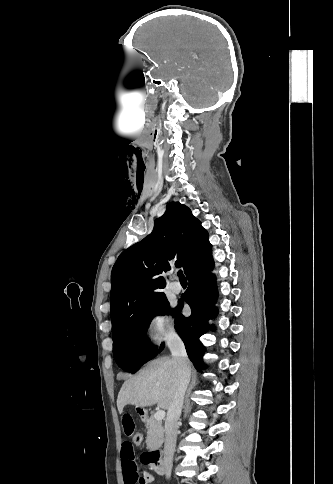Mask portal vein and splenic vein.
<instances>
[{"label": "portal vein and splenic vein", "instance_id": "obj_1", "mask_svg": "<svg viewBox=\"0 0 333 484\" xmlns=\"http://www.w3.org/2000/svg\"><path fill=\"white\" fill-rule=\"evenodd\" d=\"M154 418L157 421H162L165 418V411L164 410H159L154 414Z\"/></svg>", "mask_w": 333, "mask_h": 484}]
</instances>
